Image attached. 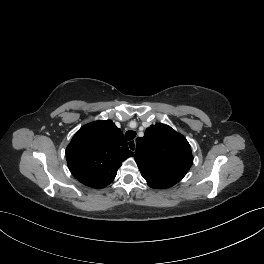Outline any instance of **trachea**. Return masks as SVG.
<instances>
[{
  "mask_svg": "<svg viewBox=\"0 0 264 264\" xmlns=\"http://www.w3.org/2000/svg\"><path fill=\"white\" fill-rule=\"evenodd\" d=\"M136 136V132L133 130H129L125 133V137L128 141L133 140Z\"/></svg>",
  "mask_w": 264,
  "mask_h": 264,
  "instance_id": "trachea-1",
  "label": "trachea"
}]
</instances>
